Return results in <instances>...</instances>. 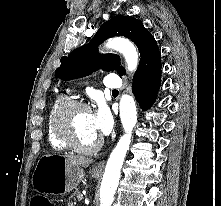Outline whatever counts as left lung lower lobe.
<instances>
[{
  "mask_svg": "<svg viewBox=\"0 0 221 206\" xmlns=\"http://www.w3.org/2000/svg\"><path fill=\"white\" fill-rule=\"evenodd\" d=\"M161 84V71L143 77L133 82V94L143 110L154 103Z\"/></svg>",
  "mask_w": 221,
  "mask_h": 206,
  "instance_id": "1",
  "label": "left lung lower lobe"
}]
</instances>
